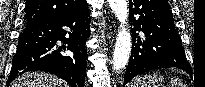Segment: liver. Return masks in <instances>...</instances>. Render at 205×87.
Wrapping results in <instances>:
<instances>
[{
    "label": "liver",
    "mask_w": 205,
    "mask_h": 87,
    "mask_svg": "<svg viewBox=\"0 0 205 87\" xmlns=\"http://www.w3.org/2000/svg\"><path fill=\"white\" fill-rule=\"evenodd\" d=\"M10 87H68V84L43 72H28L15 79Z\"/></svg>",
    "instance_id": "obj_1"
}]
</instances>
